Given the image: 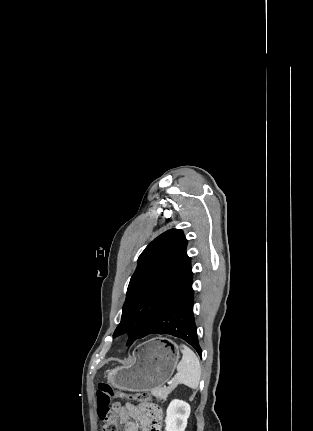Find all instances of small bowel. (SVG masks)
Wrapping results in <instances>:
<instances>
[{
  "label": "small bowel",
  "mask_w": 313,
  "mask_h": 431,
  "mask_svg": "<svg viewBox=\"0 0 313 431\" xmlns=\"http://www.w3.org/2000/svg\"><path fill=\"white\" fill-rule=\"evenodd\" d=\"M113 412L123 424V431H153L154 420L144 404L115 403Z\"/></svg>",
  "instance_id": "1"
}]
</instances>
